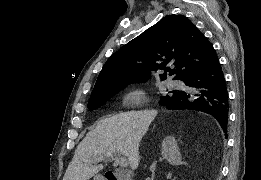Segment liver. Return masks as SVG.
<instances>
[{"label":"liver","mask_w":261,"mask_h":180,"mask_svg":"<svg viewBox=\"0 0 261 180\" xmlns=\"http://www.w3.org/2000/svg\"><path fill=\"white\" fill-rule=\"evenodd\" d=\"M156 114V110H141L102 118L80 142L68 168V180H90L104 168L101 164L94 166L101 156L109 158L115 152L126 156L131 170H137L140 142Z\"/></svg>","instance_id":"6515ba94"}]
</instances>
